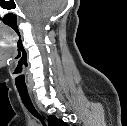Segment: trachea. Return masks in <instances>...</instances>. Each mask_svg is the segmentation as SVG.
Returning a JSON list of instances; mask_svg holds the SVG:
<instances>
[{
  "label": "trachea",
  "mask_w": 127,
  "mask_h": 126,
  "mask_svg": "<svg viewBox=\"0 0 127 126\" xmlns=\"http://www.w3.org/2000/svg\"><path fill=\"white\" fill-rule=\"evenodd\" d=\"M18 92L19 95L21 97V100L23 102V104L25 105V107L29 110V112L35 116L36 118H38L39 120H41L42 124L44 125V121L42 120V117L38 114V112L35 110L30 97L28 95V91L26 88H18Z\"/></svg>",
  "instance_id": "3493384b"
}]
</instances>
